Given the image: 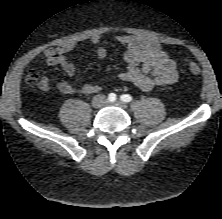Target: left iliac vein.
Here are the masks:
<instances>
[{"instance_id":"1","label":"left iliac vein","mask_w":222,"mask_h":219,"mask_svg":"<svg viewBox=\"0 0 222 219\" xmlns=\"http://www.w3.org/2000/svg\"><path fill=\"white\" fill-rule=\"evenodd\" d=\"M114 104H115V105H118V106H120V107H123V108L126 107V104H125L124 102H122V101H117V102H115Z\"/></svg>"}]
</instances>
